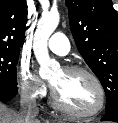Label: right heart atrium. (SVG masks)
<instances>
[{
	"label": "right heart atrium",
	"mask_w": 118,
	"mask_h": 123,
	"mask_svg": "<svg viewBox=\"0 0 118 123\" xmlns=\"http://www.w3.org/2000/svg\"><path fill=\"white\" fill-rule=\"evenodd\" d=\"M18 87L22 96L31 101L47 95L45 83L33 72L28 63H22L18 72Z\"/></svg>",
	"instance_id": "d8ad5b80"
}]
</instances>
